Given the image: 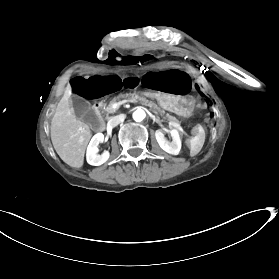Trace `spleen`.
<instances>
[{"label":"spleen","instance_id":"1","mask_svg":"<svg viewBox=\"0 0 279 279\" xmlns=\"http://www.w3.org/2000/svg\"><path fill=\"white\" fill-rule=\"evenodd\" d=\"M204 130L197 128V135H195L190 141H188V148H190V156H195L203 147Z\"/></svg>","mask_w":279,"mask_h":279}]
</instances>
